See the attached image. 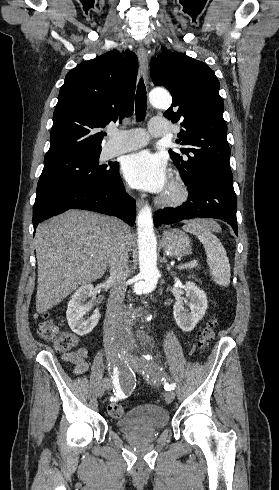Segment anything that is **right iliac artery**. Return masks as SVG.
Wrapping results in <instances>:
<instances>
[{"label":"right iliac artery","mask_w":279,"mask_h":490,"mask_svg":"<svg viewBox=\"0 0 279 490\" xmlns=\"http://www.w3.org/2000/svg\"><path fill=\"white\" fill-rule=\"evenodd\" d=\"M113 383L116 384L114 392L116 397H118L119 402H124V397H125V389H124V381L121 378H118V371L117 367L114 368V375L112 376ZM111 401H116V398L111 397Z\"/></svg>","instance_id":"82829eb1"}]
</instances>
